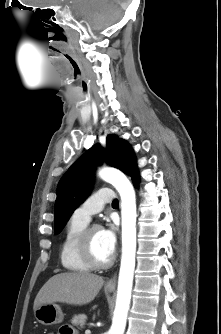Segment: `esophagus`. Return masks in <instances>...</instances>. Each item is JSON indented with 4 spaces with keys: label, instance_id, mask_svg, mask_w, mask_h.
Segmentation results:
<instances>
[{
    "label": "esophagus",
    "instance_id": "obj_1",
    "mask_svg": "<svg viewBox=\"0 0 221 334\" xmlns=\"http://www.w3.org/2000/svg\"><path fill=\"white\" fill-rule=\"evenodd\" d=\"M107 287H115L116 286V275H114L111 279L106 282Z\"/></svg>",
    "mask_w": 221,
    "mask_h": 334
}]
</instances>
